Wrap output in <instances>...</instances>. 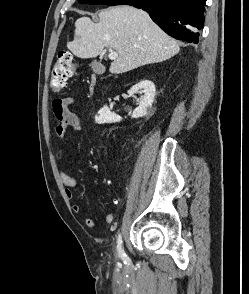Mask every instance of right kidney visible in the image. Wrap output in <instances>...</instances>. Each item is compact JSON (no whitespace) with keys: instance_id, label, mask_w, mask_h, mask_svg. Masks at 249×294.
<instances>
[{"instance_id":"ca27d5eb","label":"right kidney","mask_w":249,"mask_h":294,"mask_svg":"<svg viewBox=\"0 0 249 294\" xmlns=\"http://www.w3.org/2000/svg\"><path fill=\"white\" fill-rule=\"evenodd\" d=\"M155 85L152 81L142 80L136 85H134L129 91L130 96H134L136 93H144V95L136 100L137 107L132 113V118L139 117H150L153 115L154 111L152 110V103L155 97ZM122 118L110 111V109L105 105L101 108L95 116V122L98 124L105 123H115L120 122Z\"/></svg>"}]
</instances>
